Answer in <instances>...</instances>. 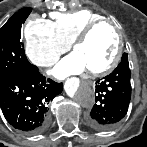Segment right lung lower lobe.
I'll return each mask as SVG.
<instances>
[{
  "instance_id": "1",
  "label": "right lung lower lobe",
  "mask_w": 147,
  "mask_h": 147,
  "mask_svg": "<svg viewBox=\"0 0 147 147\" xmlns=\"http://www.w3.org/2000/svg\"><path fill=\"white\" fill-rule=\"evenodd\" d=\"M62 83L46 80L36 66L0 79V108L17 130L38 134L48 126L47 106L62 92Z\"/></svg>"
}]
</instances>
